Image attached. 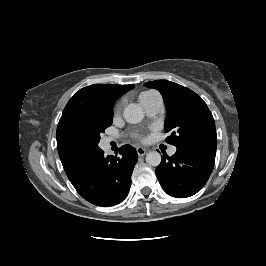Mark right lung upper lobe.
Here are the masks:
<instances>
[{
    "mask_svg": "<svg viewBox=\"0 0 266 266\" xmlns=\"http://www.w3.org/2000/svg\"><path fill=\"white\" fill-rule=\"evenodd\" d=\"M133 88V85L94 84L80 89L68 101L58 123L56 140L60 160L72 184L82 176L97 152L73 145L69 139L71 133L96 114L112 110L115 101Z\"/></svg>",
    "mask_w": 266,
    "mask_h": 266,
    "instance_id": "obj_1",
    "label": "right lung upper lobe"
}]
</instances>
